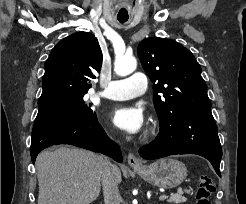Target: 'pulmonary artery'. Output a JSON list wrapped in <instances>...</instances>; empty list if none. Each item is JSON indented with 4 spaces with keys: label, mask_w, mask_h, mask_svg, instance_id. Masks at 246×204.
Instances as JSON below:
<instances>
[{
    "label": "pulmonary artery",
    "mask_w": 246,
    "mask_h": 204,
    "mask_svg": "<svg viewBox=\"0 0 246 204\" xmlns=\"http://www.w3.org/2000/svg\"><path fill=\"white\" fill-rule=\"evenodd\" d=\"M147 83L146 75L136 72L128 78L111 81L100 95L112 100L131 99L142 95L147 89Z\"/></svg>",
    "instance_id": "pulmonary-artery-1"
}]
</instances>
